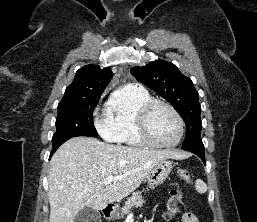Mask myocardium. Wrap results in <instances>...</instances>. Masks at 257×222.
Wrapping results in <instances>:
<instances>
[{"label": "myocardium", "instance_id": "f54148a6", "mask_svg": "<svg viewBox=\"0 0 257 222\" xmlns=\"http://www.w3.org/2000/svg\"><path fill=\"white\" fill-rule=\"evenodd\" d=\"M157 106H164L167 109L171 111V113L176 118V121L178 123V135L176 139L170 143H159L155 141L150 133L149 130V116L154 108ZM184 120L179 113V111L169 102L159 99H151L148 102H146L139 110L138 116H137V129L140 136V139L148 146L155 147V148H172L177 146L183 136H184Z\"/></svg>", "mask_w": 257, "mask_h": 222}]
</instances>
